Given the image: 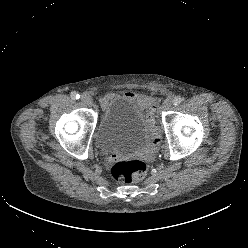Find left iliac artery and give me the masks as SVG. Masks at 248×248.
Here are the masks:
<instances>
[{
  "mask_svg": "<svg viewBox=\"0 0 248 248\" xmlns=\"http://www.w3.org/2000/svg\"><path fill=\"white\" fill-rule=\"evenodd\" d=\"M183 101V98L181 96H176L173 98V104L178 105Z\"/></svg>",
  "mask_w": 248,
  "mask_h": 248,
  "instance_id": "44dca946",
  "label": "left iliac artery"
}]
</instances>
